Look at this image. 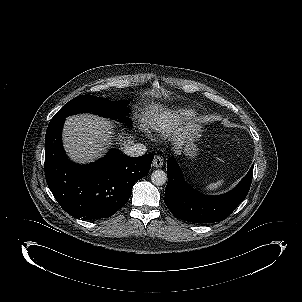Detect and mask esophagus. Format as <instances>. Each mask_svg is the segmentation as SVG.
Segmentation results:
<instances>
[{
  "mask_svg": "<svg viewBox=\"0 0 302 302\" xmlns=\"http://www.w3.org/2000/svg\"><path fill=\"white\" fill-rule=\"evenodd\" d=\"M152 165L155 168H161L163 166V158L161 156H155Z\"/></svg>",
  "mask_w": 302,
  "mask_h": 302,
  "instance_id": "34e87169",
  "label": "esophagus"
}]
</instances>
